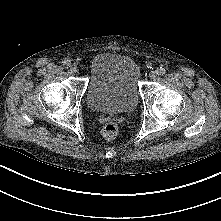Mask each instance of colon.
Instances as JSON below:
<instances>
[{
	"instance_id": "colon-1",
	"label": "colon",
	"mask_w": 221,
	"mask_h": 221,
	"mask_svg": "<svg viewBox=\"0 0 221 221\" xmlns=\"http://www.w3.org/2000/svg\"><path fill=\"white\" fill-rule=\"evenodd\" d=\"M118 133L119 128L114 122H108L102 128V135L108 140L115 139Z\"/></svg>"
}]
</instances>
